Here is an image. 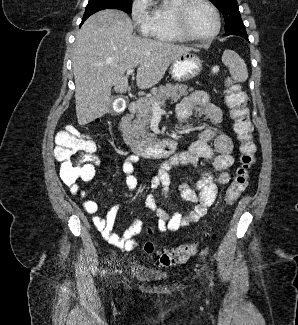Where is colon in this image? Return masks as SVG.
<instances>
[{"label":"colon","mask_w":298,"mask_h":325,"mask_svg":"<svg viewBox=\"0 0 298 325\" xmlns=\"http://www.w3.org/2000/svg\"><path fill=\"white\" fill-rule=\"evenodd\" d=\"M213 72L217 67H213ZM225 101L230 108V116L234 121L233 129L239 141V165L225 193L227 205L235 203L247 187L250 171L255 163L256 145L253 138V125L250 120L248 97L237 84L229 82ZM55 157L61 163L60 176L68 185H76L79 181H88L95 174L94 163L97 160L96 146L86 135L74 127H67L56 137ZM147 253H154L151 241L144 244ZM193 245H181L172 250L158 253L157 260L165 267L185 263L194 254Z\"/></svg>","instance_id":"1"}]
</instances>
